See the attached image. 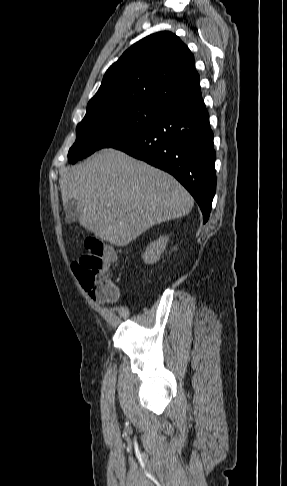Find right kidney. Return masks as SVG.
Returning a JSON list of instances; mask_svg holds the SVG:
<instances>
[{
	"label": "right kidney",
	"mask_w": 287,
	"mask_h": 486,
	"mask_svg": "<svg viewBox=\"0 0 287 486\" xmlns=\"http://www.w3.org/2000/svg\"><path fill=\"white\" fill-rule=\"evenodd\" d=\"M169 237L168 236H160L154 242H151L150 245L146 248L145 253L143 254V259L146 264H154L159 259L161 254L166 249Z\"/></svg>",
	"instance_id": "right-kidney-1"
}]
</instances>
